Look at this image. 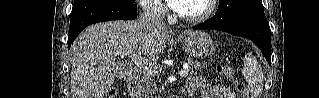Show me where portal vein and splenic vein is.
Returning a JSON list of instances; mask_svg holds the SVG:
<instances>
[{"label":"portal vein and splenic vein","instance_id":"1","mask_svg":"<svg viewBox=\"0 0 319 98\" xmlns=\"http://www.w3.org/2000/svg\"><path fill=\"white\" fill-rule=\"evenodd\" d=\"M118 55L129 56L134 64L149 74H156L159 71V66L154 65L152 62L141 56L140 52L137 51H117ZM189 69L188 65L184 66L179 72L181 77H186L188 75Z\"/></svg>","mask_w":319,"mask_h":98}]
</instances>
